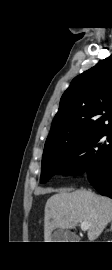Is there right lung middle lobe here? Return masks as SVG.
Instances as JSON below:
<instances>
[{"instance_id":"obj_1","label":"right lung middle lobe","mask_w":112,"mask_h":270,"mask_svg":"<svg viewBox=\"0 0 112 270\" xmlns=\"http://www.w3.org/2000/svg\"><path fill=\"white\" fill-rule=\"evenodd\" d=\"M112 149V126L93 130L66 143L44 148L40 182L55 174L78 175L98 170Z\"/></svg>"}]
</instances>
